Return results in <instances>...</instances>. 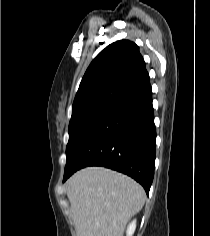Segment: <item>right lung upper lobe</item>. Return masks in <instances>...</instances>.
<instances>
[{
    "label": "right lung upper lobe",
    "instance_id": "cb5924a9",
    "mask_svg": "<svg viewBox=\"0 0 210 236\" xmlns=\"http://www.w3.org/2000/svg\"><path fill=\"white\" fill-rule=\"evenodd\" d=\"M148 79L138 46L128 40L114 42L102 50L89 65L73 106L117 88L131 91Z\"/></svg>",
    "mask_w": 210,
    "mask_h": 236
}]
</instances>
